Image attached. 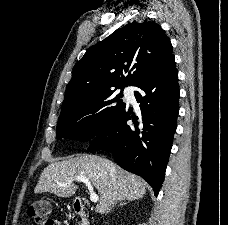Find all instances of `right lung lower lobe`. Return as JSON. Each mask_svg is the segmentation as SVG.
I'll use <instances>...</instances> for the list:
<instances>
[{"instance_id":"right-lung-lower-lobe-1","label":"right lung lower lobe","mask_w":228,"mask_h":225,"mask_svg":"<svg viewBox=\"0 0 228 225\" xmlns=\"http://www.w3.org/2000/svg\"><path fill=\"white\" fill-rule=\"evenodd\" d=\"M135 98L140 112L126 107L92 138L88 152L107 150L119 166L143 177L155 195L163 183L179 111L178 73L174 55L141 79ZM132 120L133 125H127Z\"/></svg>"}]
</instances>
